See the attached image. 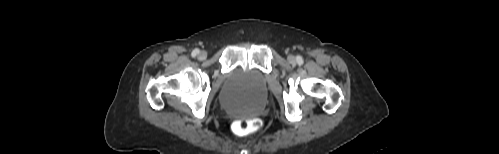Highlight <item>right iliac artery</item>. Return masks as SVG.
<instances>
[{"label":"right iliac artery","instance_id":"right-iliac-artery-1","mask_svg":"<svg viewBox=\"0 0 499 154\" xmlns=\"http://www.w3.org/2000/svg\"><path fill=\"white\" fill-rule=\"evenodd\" d=\"M198 53H199V50H198V49H195V50H193V52H192V56H193V57H195Z\"/></svg>","mask_w":499,"mask_h":154}]
</instances>
